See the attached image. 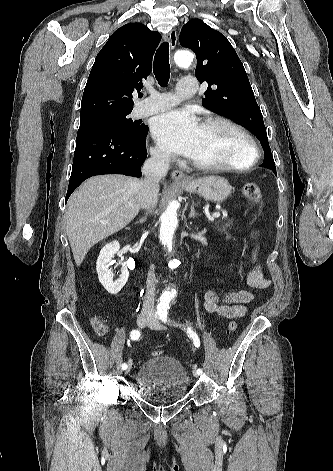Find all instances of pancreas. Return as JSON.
Masks as SVG:
<instances>
[{
    "instance_id": "1",
    "label": "pancreas",
    "mask_w": 333,
    "mask_h": 471,
    "mask_svg": "<svg viewBox=\"0 0 333 471\" xmlns=\"http://www.w3.org/2000/svg\"><path fill=\"white\" fill-rule=\"evenodd\" d=\"M233 225V220L223 217L222 220L215 222L214 228L219 232H226Z\"/></svg>"
}]
</instances>
